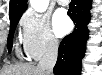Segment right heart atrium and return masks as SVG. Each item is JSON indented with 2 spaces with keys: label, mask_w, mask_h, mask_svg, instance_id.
Wrapping results in <instances>:
<instances>
[{
  "label": "right heart atrium",
  "mask_w": 102,
  "mask_h": 75,
  "mask_svg": "<svg viewBox=\"0 0 102 75\" xmlns=\"http://www.w3.org/2000/svg\"><path fill=\"white\" fill-rule=\"evenodd\" d=\"M23 49L31 60H38L58 48L49 20L33 11L26 12L20 20Z\"/></svg>",
  "instance_id": "right-heart-atrium-1"
}]
</instances>
